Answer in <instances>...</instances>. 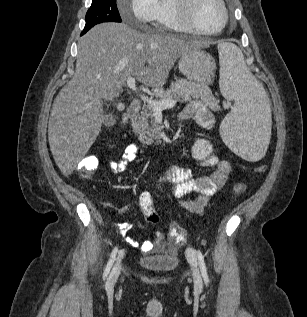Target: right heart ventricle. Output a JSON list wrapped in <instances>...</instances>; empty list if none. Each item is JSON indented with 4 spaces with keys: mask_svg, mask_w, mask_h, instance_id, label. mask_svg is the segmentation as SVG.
Here are the masks:
<instances>
[{
    "mask_svg": "<svg viewBox=\"0 0 307 317\" xmlns=\"http://www.w3.org/2000/svg\"><path fill=\"white\" fill-rule=\"evenodd\" d=\"M160 12L156 20V28L162 31L187 32L178 19L174 0H160Z\"/></svg>",
    "mask_w": 307,
    "mask_h": 317,
    "instance_id": "right-heart-ventricle-1",
    "label": "right heart ventricle"
}]
</instances>
